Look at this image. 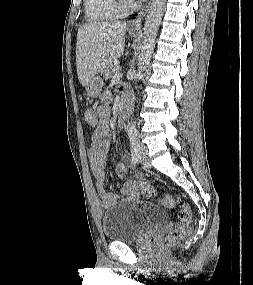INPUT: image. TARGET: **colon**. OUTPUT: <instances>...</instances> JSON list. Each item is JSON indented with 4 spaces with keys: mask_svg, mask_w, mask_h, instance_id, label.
<instances>
[{
    "mask_svg": "<svg viewBox=\"0 0 253 285\" xmlns=\"http://www.w3.org/2000/svg\"><path fill=\"white\" fill-rule=\"evenodd\" d=\"M85 119L90 126H97L101 121L97 112L94 110H87L85 112ZM159 202L161 205L167 208H171L175 205V199L169 194L163 196ZM179 220L180 222L178 226L164 239V246H174L190 234L192 224V211L188 203H182L179 212Z\"/></svg>",
    "mask_w": 253,
    "mask_h": 285,
    "instance_id": "colon-1",
    "label": "colon"
}]
</instances>
